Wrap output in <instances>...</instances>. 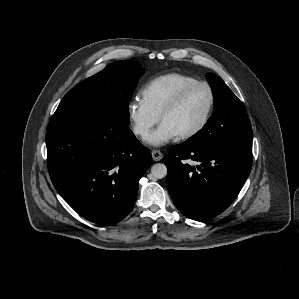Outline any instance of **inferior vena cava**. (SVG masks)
I'll list each match as a JSON object with an SVG mask.
<instances>
[{
	"label": "inferior vena cava",
	"mask_w": 299,
	"mask_h": 299,
	"mask_svg": "<svg viewBox=\"0 0 299 299\" xmlns=\"http://www.w3.org/2000/svg\"><path fill=\"white\" fill-rule=\"evenodd\" d=\"M134 132H135V134H144L146 132V130L141 127H135Z\"/></svg>",
	"instance_id": "inferior-vena-cava-1"
}]
</instances>
